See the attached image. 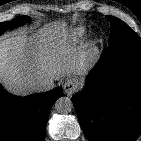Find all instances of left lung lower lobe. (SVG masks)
<instances>
[{"mask_svg": "<svg viewBox=\"0 0 141 141\" xmlns=\"http://www.w3.org/2000/svg\"><path fill=\"white\" fill-rule=\"evenodd\" d=\"M90 141H134L141 133V45H110L72 97Z\"/></svg>", "mask_w": 141, "mask_h": 141, "instance_id": "0a47b994", "label": "left lung lower lobe"}]
</instances>
